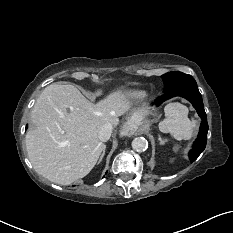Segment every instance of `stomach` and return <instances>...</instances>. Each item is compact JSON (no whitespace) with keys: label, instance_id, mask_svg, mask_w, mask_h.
<instances>
[{"label":"stomach","instance_id":"0dacf381","mask_svg":"<svg viewBox=\"0 0 233 233\" xmlns=\"http://www.w3.org/2000/svg\"><path fill=\"white\" fill-rule=\"evenodd\" d=\"M148 116L158 117L157 110L149 108L147 105H143L137 108L129 119V124L134 128L140 126Z\"/></svg>","mask_w":233,"mask_h":233}]
</instances>
